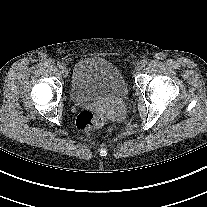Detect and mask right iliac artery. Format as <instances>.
<instances>
[{
    "label": "right iliac artery",
    "mask_w": 207,
    "mask_h": 207,
    "mask_svg": "<svg viewBox=\"0 0 207 207\" xmlns=\"http://www.w3.org/2000/svg\"><path fill=\"white\" fill-rule=\"evenodd\" d=\"M63 65H64V64H63L62 62H58V63H57V66H58L60 69L63 68Z\"/></svg>",
    "instance_id": "1"
}]
</instances>
